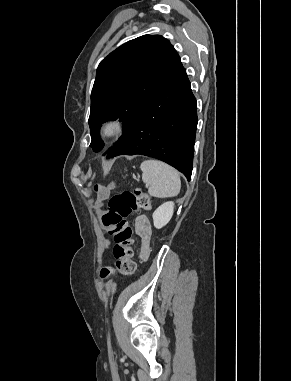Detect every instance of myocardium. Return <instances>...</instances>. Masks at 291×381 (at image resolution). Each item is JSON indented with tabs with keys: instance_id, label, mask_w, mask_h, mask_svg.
I'll return each mask as SVG.
<instances>
[{
	"instance_id": "myocardium-1",
	"label": "myocardium",
	"mask_w": 291,
	"mask_h": 381,
	"mask_svg": "<svg viewBox=\"0 0 291 381\" xmlns=\"http://www.w3.org/2000/svg\"><path fill=\"white\" fill-rule=\"evenodd\" d=\"M126 122L120 117H111L103 121L100 126V136L105 140L113 139L124 133Z\"/></svg>"
}]
</instances>
